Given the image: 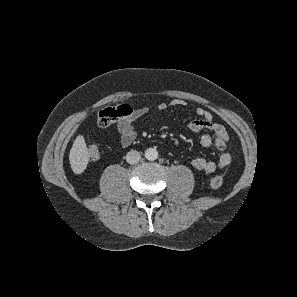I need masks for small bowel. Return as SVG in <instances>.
I'll return each instance as SVG.
<instances>
[{"label":"small bowel","instance_id":"small-bowel-1","mask_svg":"<svg viewBox=\"0 0 297 297\" xmlns=\"http://www.w3.org/2000/svg\"><path fill=\"white\" fill-rule=\"evenodd\" d=\"M187 103L181 99H173L169 103H159L157 105V109L159 111H164L168 107H184ZM149 112L147 107H141L134 109L132 114L127 117H123L118 119L117 121V131L120 136L121 145L127 147L131 145L136 139L137 133L135 130L134 123L136 120L144 117ZM196 114L198 118L191 120L188 123V129L191 132H200L203 130H208L211 134H204L201 138V145L204 148H208L212 145L214 141H218L222 139L224 142L228 140V135L225 128L213 121L212 114L202 108H196ZM231 162V156L224 152L222 153L216 162L207 160L203 157H196L191 161V165L198 171H202L205 173H214L216 170L227 167Z\"/></svg>","mask_w":297,"mask_h":297}]
</instances>
